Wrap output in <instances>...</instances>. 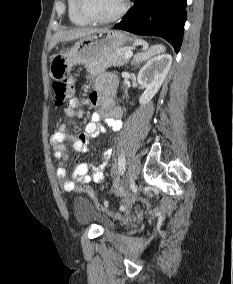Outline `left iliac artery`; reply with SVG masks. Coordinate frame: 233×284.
I'll list each match as a JSON object with an SVG mask.
<instances>
[{
    "label": "left iliac artery",
    "instance_id": "obj_1",
    "mask_svg": "<svg viewBox=\"0 0 233 284\" xmlns=\"http://www.w3.org/2000/svg\"><path fill=\"white\" fill-rule=\"evenodd\" d=\"M125 165H126L125 156L121 154L118 157V169L121 174H123L125 171Z\"/></svg>",
    "mask_w": 233,
    "mask_h": 284
}]
</instances>
